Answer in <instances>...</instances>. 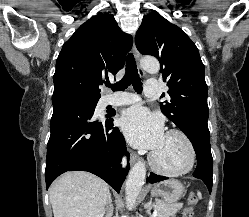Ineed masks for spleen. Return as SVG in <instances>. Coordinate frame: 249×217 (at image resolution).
<instances>
[{"label":"spleen","instance_id":"obj_1","mask_svg":"<svg viewBox=\"0 0 249 217\" xmlns=\"http://www.w3.org/2000/svg\"><path fill=\"white\" fill-rule=\"evenodd\" d=\"M197 195H198V197H199V198H201V197H202V195H201V193H200V192H198V193H197Z\"/></svg>","mask_w":249,"mask_h":217}]
</instances>
